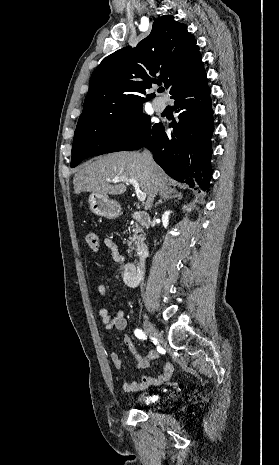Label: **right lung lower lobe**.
Wrapping results in <instances>:
<instances>
[{
  "label": "right lung lower lobe",
  "instance_id": "obj_1",
  "mask_svg": "<svg viewBox=\"0 0 279 465\" xmlns=\"http://www.w3.org/2000/svg\"><path fill=\"white\" fill-rule=\"evenodd\" d=\"M178 123L167 136L163 126L142 147L148 148L154 160L173 179L208 189L212 177L210 164L211 137L214 131L210 88L206 74L180 88L171 96ZM141 148V147H140ZM128 147L126 150H137Z\"/></svg>",
  "mask_w": 279,
  "mask_h": 465
}]
</instances>
